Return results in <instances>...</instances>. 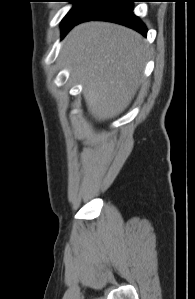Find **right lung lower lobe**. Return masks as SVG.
Instances as JSON below:
<instances>
[{"label":"right lung lower lobe","mask_w":195,"mask_h":299,"mask_svg":"<svg viewBox=\"0 0 195 299\" xmlns=\"http://www.w3.org/2000/svg\"><path fill=\"white\" fill-rule=\"evenodd\" d=\"M133 0H95L84 14L66 28V35L75 25L89 21L102 20L118 23L136 30L146 36L147 28L143 22L133 14Z\"/></svg>","instance_id":"right-lung-lower-lobe-1"}]
</instances>
